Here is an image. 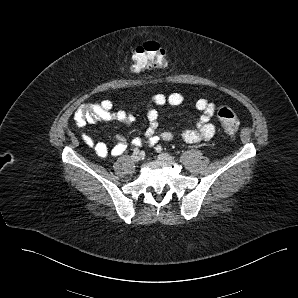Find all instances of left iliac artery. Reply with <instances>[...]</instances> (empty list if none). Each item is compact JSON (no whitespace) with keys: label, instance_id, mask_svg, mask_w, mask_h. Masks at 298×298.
Returning <instances> with one entry per match:
<instances>
[{"label":"left iliac artery","instance_id":"44dca946","mask_svg":"<svg viewBox=\"0 0 298 298\" xmlns=\"http://www.w3.org/2000/svg\"><path fill=\"white\" fill-rule=\"evenodd\" d=\"M155 149H156L157 152H161L162 151V147L160 145H157L155 147Z\"/></svg>","mask_w":298,"mask_h":298}]
</instances>
